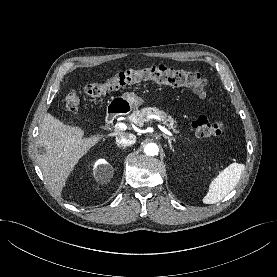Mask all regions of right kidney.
Wrapping results in <instances>:
<instances>
[{
	"label": "right kidney",
	"mask_w": 277,
	"mask_h": 277,
	"mask_svg": "<svg viewBox=\"0 0 277 277\" xmlns=\"http://www.w3.org/2000/svg\"><path fill=\"white\" fill-rule=\"evenodd\" d=\"M99 167L96 168L95 174L98 181H105L106 180V173L105 170L108 166V163L105 160H99L98 161Z\"/></svg>",
	"instance_id": "1"
}]
</instances>
